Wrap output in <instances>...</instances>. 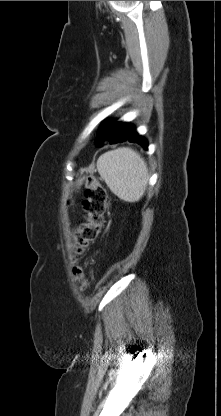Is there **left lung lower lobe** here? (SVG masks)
Segmentation results:
<instances>
[{"mask_svg": "<svg viewBox=\"0 0 221 416\" xmlns=\"http://www.w3.org/2000/svg\"><path fill=\"white\" fill-rule=\"evenodd\" d=\"M123 141L135 142V143L140 144L144 149L148 148L147 140L136 132L134 126L132 127V130L126 136L121 137V138L117 139L116 141H113V142H110V143L113 144V143L123 142ZM96 145L101 146L102 144L99 143L96 139Z\"/></svg>", "mask_w": 221, "mask_h": 416, "instance_id": "obj_1", "label": "left lung lower lobe"}]
</instances>
